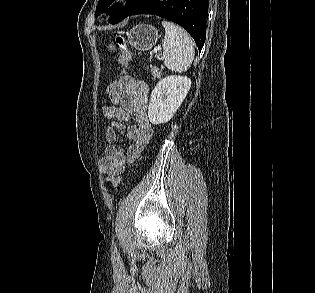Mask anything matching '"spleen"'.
Segmentation results:
<instances>
[{
  "label": "spleen",
  "instance_id": "obj_1",
  "mask_svg": "<svg viewBox=\"0 0 315 293\" xmlns=\"http://www.w3.org/2000/svg\"><path fill=\"white\" fill-rule=\"evenodd\" d=\"M162 25L165 29L162 43L164 65L174 72L187 71L195 55L192 38L174 23L162 21Z\"/></svg>",
  "mask_w": 315,
  "mask_h": 293
}]
</instances>
